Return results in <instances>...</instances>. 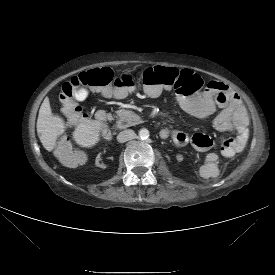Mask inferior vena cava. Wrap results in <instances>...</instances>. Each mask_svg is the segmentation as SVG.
Masks as SVG:
<instances>
[{
    "instance_id": "1",
    "label": "inferior vena cava",
    "mask_w": 275,
    "mask_h": 275,
    "mask_svg": "<svg viewBox=\"0 0 275 275\" xmlns=\"http://www.w3.org/2000/svg\"><path fill=\"white\" fill-rule=\"evenodd\" d=\"M135 137V132L131 129L123 130L117 135V141L124 143Z\"/></svg>"
}]
</instances>
